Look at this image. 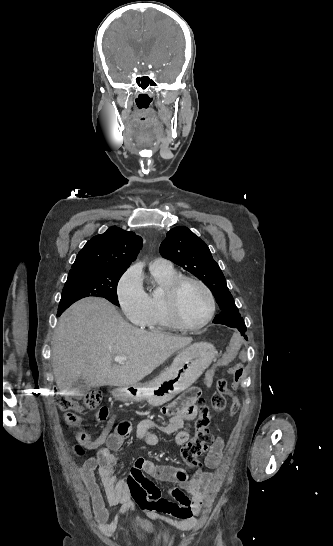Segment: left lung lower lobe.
I'll return each mask as SVG.
<instances>
[{
    "label": "left lung lower lobe",
    "mask_w": 333,
    "mask_h": 546,
    "mask_svg": "<svg viewBox=\"0 0 333 546\" xmlns=\"http://www.w3.org/2000/svg\"><path fill=\"white\" fill-rule=\"evenodd\" d=\"M213 323L215 324H223V325H226L228 327H233V328H236L238 329V331L241 333V335H243L246 339H247V336L245 335V332H246V326H237V323L235 324L232 320H231V317H229L228 315L225 314V312H221L220 314H218L215 319L213 320Z\"/></svg>",
    "instance_id": "0a47b994"
}]
</instances>
